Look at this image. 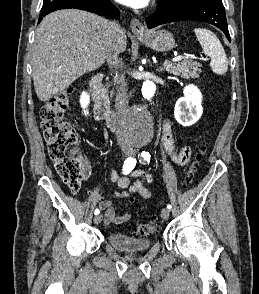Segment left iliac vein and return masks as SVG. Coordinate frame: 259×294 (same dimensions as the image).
<instances>
[{
	"mask_svg": "<svg viewBox=\"0 0 259 294\" xmlns=\"http://www.w3.org/2000/svg\"><path fill=\"white\" fill-rule=\"evenodd\" d=\"M132 155H135V152H134V151H132ZM169 215H170V213H169V209H167V208H163V209L161 210V217H162L164 220H167V219L169 218Z\"/></svg>",
	"mask_w": 259,
	"mask_h": 294,
	"instance_id": "obj_1",
	"label": "left iliac vein"
}]
</instances>
